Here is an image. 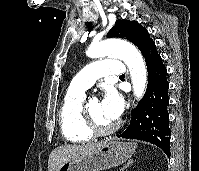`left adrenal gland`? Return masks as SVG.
Instances as JSON below:
<instances>
[{
  "mask_svg": "<svg viewBox=\"0 0 199 171\" xmlns=\"http://www.w3.org/2000/svg\"><path fill=\"white\" fill-rule=\"evenodd\" d=\"M134 161L133 160H129L120 171H124L126 168L129 167V165H131Z\"/></svg>",
  "mask_w": 199,
  "mask_h": 171,
  "instance_id": "1",
  "label": "left adrenal gland"
}]
</instances>
